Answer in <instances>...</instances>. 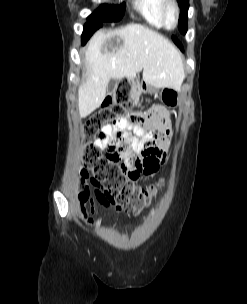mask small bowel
Listing matches in <instances>:
<instances>
[{
  "label": "small bowel",
  "mask_w": 247,
  "mask_h": 304,
  "mask_svg": "<svg viewBox=\"0 0 247 304\" xmlns=\"http://www.w3.org/2000/svg\"><path fill=\"white\" fill-rule=\"evenodd\" d=\"M127 118L129 120L122 117L114 124L105 126L97 142L102 149L106 148L105 162L120 165L128 177L137 181L142 174L147 176L154 174L159 164L167 159L170 149V141L167 137L172 134V128L169 113L162 106L150 108L149 112H128ZM157 132L163 134L164 137L158 136ZM129 145L133 149H127ZM145 159H155L156 164L149 166ZM80 174L97 186L96 181L90 178L84 167L80 168ZM97 199L106 207L115 204L102 193ZM115 209L121 211L122 207L116 203Z\"/></svg>",
  "instance_id": "small-bowel-1"
}]
</instances>
